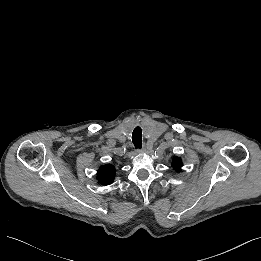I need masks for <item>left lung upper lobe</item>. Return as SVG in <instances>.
Instances as JSON below:
<instances>
[{
  "label": "left lung upper lobe",
  "instance_id": "1",
  "mask_svg": "<svg viewBox=\"0 0 261 261\" xmlns=\"http://www.w3.org/2000/svg\"><path fill=\"white\" fill-rule=\"evenodd\" d=\"M172 166H173V168H175L176 170H180V168L182 167V161H181V159L178 158V157H175V158L173 159Z\"/></svg>",
  "mask_w": 261,
  "mask_h": 261
}]
</instances>
